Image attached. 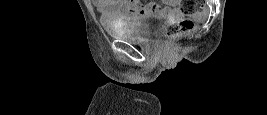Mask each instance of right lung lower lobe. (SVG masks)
<instances>
[{"label": "right lung lower lobe", "mask_w": 267, "mask_h": 115, "mask_svg": "<svg viewBox=\"0 0 267 115\" xmlns=\"http://www.w3.org/2000/svg\"><path fill=\"white\" fill-rule=\"evenodd\" d=\"M157 88H154V87H148V88H140L138 90H144V91H154L156 90Z\"/></svg>", "instance_id": "obj_1"}]
</instances>
